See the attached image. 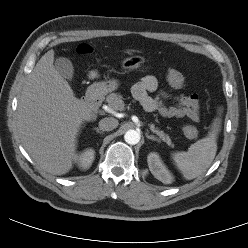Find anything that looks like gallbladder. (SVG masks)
I'll use <instances>...</instances> for the list:
<instances>
[{
  "label": "gallbladder",
  "instance_id": "1",
  "mask_svg": "<svg viewBox=\"0 0 248 248\" xmlns=\"http://www.w3.org/2000/svg\"><path fill=\"white\" fill-rule=\"evenodd\" d=\"M57 71L66 79L71 80L74 75V68L71 61L65 57H59L54 62Z\"/></svg>",
  "mask_w": 248,
  "mask_h": 248
}]
</instances>
